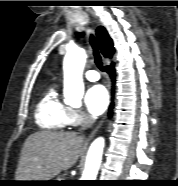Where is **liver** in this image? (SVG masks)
<instances>
[{
  "instance_id": "obj_1",
  "label": "liver",
  "mask_w": 178,
  "mask_h": 186,
  "mask_svg": "<svg viewBox=\"0 0 178 186\" xmlns=\"http://www.w3.org/2000/svg\"><path fill=\"white\" fill-rule=\"evenodd\" d=\"M83 137L76 132L39 131L25 141L17 171V181H48L78 160Z\"/></svg>"
}]
</instances>
